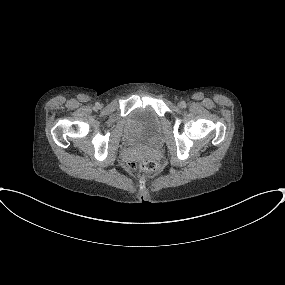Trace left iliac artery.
<instances>
[{
  "label": "left iliac artery",
  "mask_w": 285,
  "mask_h": 285,
  "mask_svg": "<svg viewBox=\"0 0 285 285\" xmlns=\"http://www.w3.org/2000/svg\"><path fill=\"white\" fill-rule=\"evenodd\" d=\"M181 104H182V107L186 106V103L184 101H182Z\"/></svg>",
  "instance_id": "44dca946"
}]
</instances>
